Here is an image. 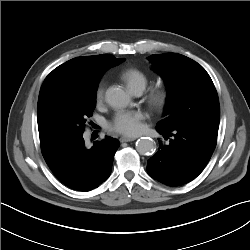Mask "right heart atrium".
Instances as JSON below:
<instances>
[{
    "instance_id": "d8ad5b80",
    "label": "right heart atrium",
    "mask_w": 250,
    "mask_h": 250,
    "mask_svg": "<svg viewBox=\"0 0 250 250\" xmlns=\"http://www.w3.org/2000/svg\"><path fill=\"white\" fill-rule=\"evenodd\" d=\"M105 86H106V83L102 80L99 82V84L96 87L95 99L98 104L103 101L104 93H105Z\"/></svg>"
}]
</instances>
